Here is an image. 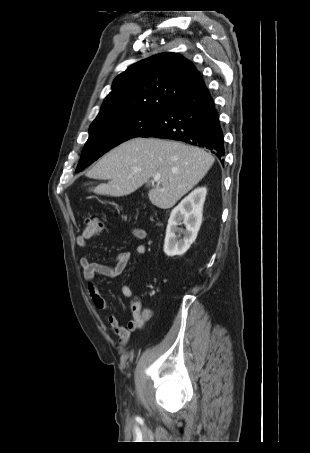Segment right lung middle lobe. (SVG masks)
<instances>
[{"label": "right lung middle lobe", "mask_w": 310, "mask_h": 453, "mask_svg": "<svg viewBox=\"0 0 310 453\" xmlns=\"http://www.w3.org/2000/svg\"><path fill=\"white\" fill-rule=\"evenodd\" d=\"M162 112H123L95 119L89 128V138L82 149L76 172L82 171L110 149L138 137Z\"/></svg>", "instance_id": "1"}]
</instances>
